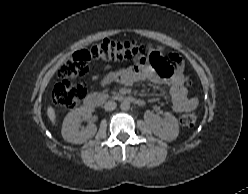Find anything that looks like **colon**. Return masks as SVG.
Masks as SVG:
<instances>
[{
	"mask_svg": "<svg viewBox=\"0 0 248 194\" xmlns=\"http://www.w3.org/2000/svg\"><path fill=\"white\" fill-rule=\"evenodd\" d=\"M148 56L156 66L162 64L161 50L151 44L139 42H115L102 40L94 44L90 49L76 51L67 58L58 71L59 82L52 91V101L64 108H74L86 96L85 83L73 84L72 79L85 76L89 71V62L92 59L106 61H125ZM197 113L189 111L185 113L181 122L192 127L197 122Z\"/></svg>",
	"mask_w": 248,
	"mask_h": 194,
	"instance_id": "colon-1",
	"label": "colon"
}]
</instances>
